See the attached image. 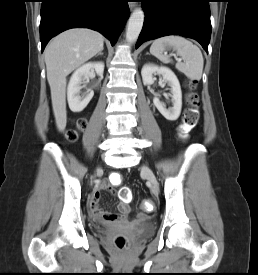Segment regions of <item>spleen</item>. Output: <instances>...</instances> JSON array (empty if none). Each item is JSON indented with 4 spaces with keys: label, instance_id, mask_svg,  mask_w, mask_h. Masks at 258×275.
I'll return each mask as SVG.
<instances>
[{
    "label": "spleen",
    "instance_id": "spleen-1",
    "mask_svg": "<svg viewBox=\"0 0 258 275\" xmlns=\"http://www.w3.org/2000/svg\"><path fill=\"white\" fill-rule=\"evenodd\" d=\"M166 48H172L184 59L176 63V68L191 80H200L203 73L204 59L201 50L181 36H166L153 41L150 53L164 63L171 60L165 54Z\"/></svg>",
    "mask_w": 258,
    "mask_h": 275
}]
</instances>
